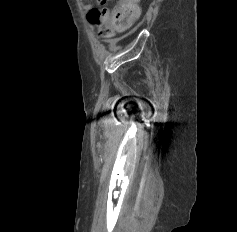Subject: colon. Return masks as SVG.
I'll return each mask as SVG.
<instances>
[{"mask_svg": "<svg viewBox=\"0 0 237 232\" xmlns=\"http://www.w3.org/2000/svg\"><path fill=\"white\" fill-rule=\"evenodd\" d=\"M139 0H119L111 9H92L89 21L97 27L103 38H112L117 33L130 29L139 16Z\"/></svg>", "mask_w": 237, "mask_h": 232, "instance_id": "obj_1", "label": "colon"}]
</instances>
